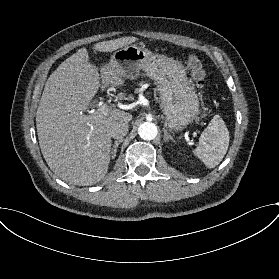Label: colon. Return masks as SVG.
I'll return each instance as SVG.
<instances>
[{
  "mask_svg": "<svg viewBox=\"0 0 279 279\" xmlns=\"http://www.w3.org/2000/svg\"><path fill=\"white\" fill-rule=\"evenodd\" d=\"M186 67L190 72L195 87L199 90L204 89L206 85V71L202 61L196 55L191 54L186 60Z\"/></svg>",
  "mask_w": 279,
  "mask_h": 279,
  "instance_id": "5ec220e1",
  "label": "colon"
}]
</instances>
